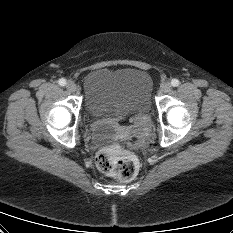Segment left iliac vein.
Masks as SVG:
<instances>
[{"mask_svg": "<svg viewBox=\"0 0 233 233\" xmlns=\"http://www.w3.org/2000/svg\"><path fill=\"white\" fill-rule=\"evenodd\" d=\"M171 89H172V86H171V84H170L169 82H165V83H163L162 86H161V91H162L163 93H168V92L171 91Z\"/></svg>", "mask_w": 233, "mask_h": 233, "instance_id": "left-iliac-vein-1", "label": "left iliac vein"}]
</instances>
